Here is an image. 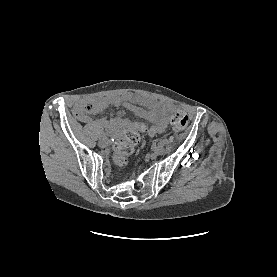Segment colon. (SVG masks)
<instances>
[{
	"mask_svg": "<svg viewBox=\"0 0 277 277\" xmlns=\"http://www.w3.org/2000/svg\"><path fill=\"white\" fill-rule=\"evenodd\" d=\"M78 116L88 117L91 114L101 112V108L92 104L79 101L75 107ZM171 128L174 132L184 131L189 124V117L184 111H176L171 117ZM147 125L142 122L134 123L130 128L124 130L122 136L114 143V160L117 165L127 164L130 156L134 153L135 147L140 142V131H145Z\"/></svg>",
	"mask_w": 277,
	"mask_h": 277,
	"instance_id": "obj_1",
	"label": "colon"
}]
</instances>
